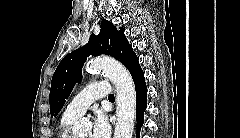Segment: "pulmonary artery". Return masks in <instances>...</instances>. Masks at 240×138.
I'll return each mask as SVG.
<instances>
[{
	"label": "pulmonary artery",
	"instance_id": "e3ab8cb5",
	"mask_svg": "<svg viewBox=\"0 0 240 138\" xmlns=\"http://www.w3.org/2000/svg\"><path fill=\"white\" fill-rule=\"evenodd\" d=\"M110 87L106 81H95L86 86L67 105L64 115L68 117H78L88 109L96 100L101 97H109Z\"/></svg>",
	"mask_w": 240,
	"mask_h": 138
}]
</instances>
